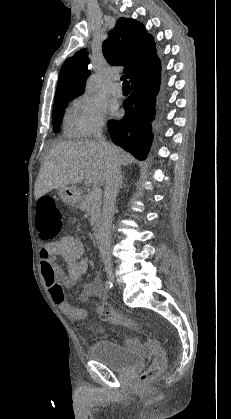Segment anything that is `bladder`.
Here are the masks:
<instances>
[{"label":"bladder","instance_id":"bladder-1","mask_svg":"<svg viewBox=\"0 0 231 419\" xmlns=\"http://www.w3.org/2000/svg\"><path fill=\"white\" fill-rule=\"evenodd\" d=\"M90 356L93 360L106 365L110 370L121 374L143 365L145 360L142 354L131 352L111 340L94 342L90 349Z\"/></svg>","mask_w":231,"mask_h":419}]
</instances>
